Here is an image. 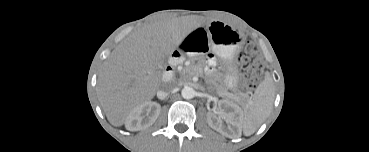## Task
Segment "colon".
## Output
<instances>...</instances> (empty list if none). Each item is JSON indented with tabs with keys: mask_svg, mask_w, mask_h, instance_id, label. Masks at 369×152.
I'll list each match as a JSON object with an SVG mask.
<instances>
[{
	"mask_svg": "<svg viewBox=\"0 0 369 152\" xmlns=\"http://www.w3.org/2000/svg\"><path fill=\"white\" fill-rule=\"evenodd\" d=\"M239 65L243 70V80L248 88H254L261 80L264 65L258 51L253 45L248 44L245 51L238 57Z\"/></svg>",
	"mask_w": 369,
	"mask_h": 152,
	"instance_id": "obj_1",
	"label": "colon"
}]
</instances>
